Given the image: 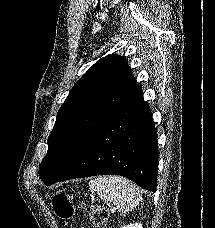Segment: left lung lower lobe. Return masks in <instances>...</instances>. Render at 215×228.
Here are the masks:
<instances>
[{
	"mask_svg": "<svg viewBox=\"0 0 215 228\" xmlns=\"http://www.w3.org/2000/svg\"><path fill=\"white\" fill-rule=\"evenodd\" d=\"M158 158L157 129L139 86L71 163L45 184L95 175H120L155 192Z\"/></svg>",
	"mask_w": 215,
	"mask_h": 228,
	"instance_id": "1",
	"label": "left lung lower lobe"
}]
</instances>
